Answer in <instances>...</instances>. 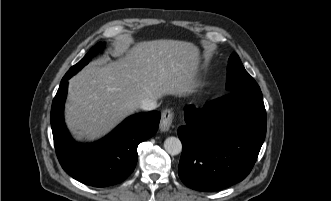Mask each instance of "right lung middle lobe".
I'll return each mask as SVG.
<instances>
[{"label": "right lung middle lobe", "mask_w": 331, "mask_h": 201, "mask_svg": "<svg viewBox=\"0 0 331 201\" xmlns=\"http://www.w3.org/2000/svg\"><path fill=\"white\" fill-rule=\"evenodd\" d=\"M104 46V43H98L94 47L90 49V51L73 67L70 68V70L66 73L64 77H72L74 74H76L80 69H82L88 62L91 60V58L98 53V51Z\"/></svg>", "instance_id": "right-lung-middle-lobe-1"}]
</instances>
